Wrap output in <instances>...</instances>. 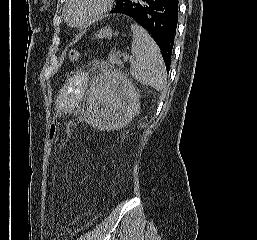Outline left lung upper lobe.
Here are the masks:
<instances>
[{
	"mask_svg": "<svg viewBox=\"0 0 257 240\" xmlns=\"http://www.w3.org/2000/svg\"><path fill=\"white\" fill-rule=\"evenodd\" d=\"M121 2V0H116V6Z\"/></svg>",
	"mask_w": 257,
	"mask_h": 240,
	"instance_id": "obj_1",
	"label": "left lung upper lobe"
}]
</instances>
